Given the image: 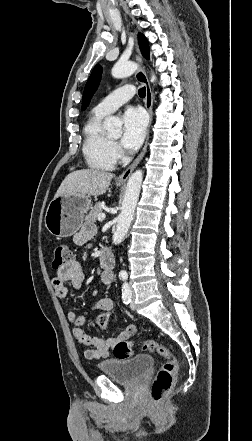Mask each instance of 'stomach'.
<instances>
[{
    "mask_svg": "<svg viewBox=\"0 0 252 441\" xmlns=\"http://www.w3.org/2000/svg\"><path fill=\"white\" fill-rule=\"evenodd\" d=\"M90 208L91 199L87 195L54 197L46 210L45 226L57 238L70 237L79 230Z\"/></svg>",
    "mask_w": 252,
    "mask_h": 441,
    "instance_id": "stomach-1",
    "label": "stomach"
}]
</instances>
